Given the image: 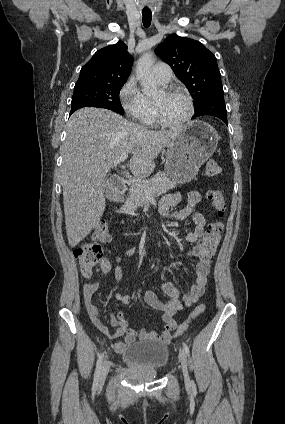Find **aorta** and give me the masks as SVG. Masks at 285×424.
Listing matches in <instances>:
<instances>
[{
  "instance_id": "762f6f07",
  "label": "aorta",
  "mask_w": 285,
  "mask_h": 424,
  "mask_svg": "<svg viewBox=\"0 0 285 424\" xmlns=\"http://www.w3.org/2000/svg\"><path fill=\"white\" fill-rule=\"evenodd\" d=\"M154 62V55L149 52L144 54L136 65V78L140 82L142 91L146 96L156 95L159 91L152 74Z\"/></svg>"
}]
</instances>
